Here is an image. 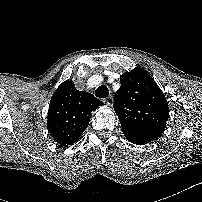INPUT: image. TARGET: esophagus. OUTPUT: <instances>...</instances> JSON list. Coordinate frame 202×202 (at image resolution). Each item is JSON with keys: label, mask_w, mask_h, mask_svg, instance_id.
<instances>
[{"label": "esophagus", "mask_w": 202, "mask_h": 202, "mask_svg": "<svg viewBox=\"0 0 202 202\" xmlns=\"http://www.w3.org/2000/svg\"><path fill=\"white\" fill-rule=\"evenodd\" d=\"M104 102H105L108 106H112V105H113V97L110 95L109 97H107L106 99H104Z\"/></svg>", "instance_id": "obj_1"}]
</instances>
